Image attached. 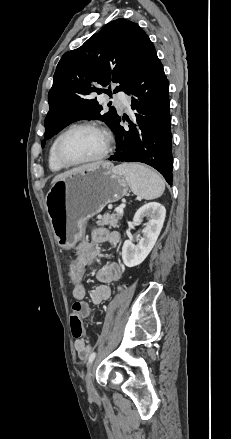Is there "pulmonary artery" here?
I'll list each match as a JSON object with an SVG mask.
<instances>
[{"label":"pulmonary artery","mask_w":231,"mask_h":439,"mask_svg":"<svg viewBox=\"0 0 231 439\" xmlns=\"http://www.w3.org/2000/svg\"><path fill=\"white\" fill-rule=\"evenodd\" d=\"M116 101L120 106L129 108V98L123 92L116 94Z\"/></svg>","instance_id":"1"}]
</instances>
